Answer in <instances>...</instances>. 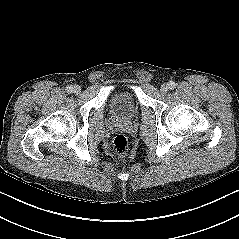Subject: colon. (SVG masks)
<instances>
[{"label":"colon","instance_id":"colon-1","mask_svg":"<svg viewBox=\"0 0 239 239\" xmlns=\"http://www.w3.org/2000/svg\"><path fill=\"white\" fill-rule=\"evenodd\" d=\"M129 144L128 140L124 135H117L113 140V151L114 153L119 156L123 157L128 153Z\"/></svg>","mask_w":239,"mask_h":239}]
</instances>
